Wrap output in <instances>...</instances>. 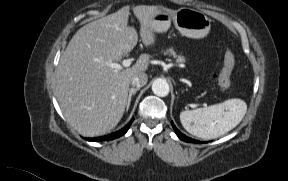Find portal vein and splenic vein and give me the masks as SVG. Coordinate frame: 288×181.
<instances>
[{
  "label": "portal vein and splenic vein",
  "mask_w": 288,
  "mask_h": 181,
  "mask_svg": "<svg viewBox=\"0 0 288 181\" xmlns=\"http://www.w3.org/2000/svg\"><path fill=\"white\" fill-rule=\"evenodd\" d=\"M132 63V60L131 59H125L123 60L122 62V65L121 64H118V63H108V66L113 68V69H116V70H120L122 67H129Z\"/></svg>",
  "instance_id": "18ae733b"
}]
</instances>
